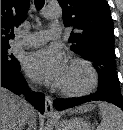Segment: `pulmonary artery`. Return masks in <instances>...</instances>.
Wrapping results in <instances>:
<instances>
[{
	"label": "pulmonary artery",
	"mask_w": 123,
	"mask_h": 130,
	"mask_svg": "<svg viewBox=\"0 0 123 130\" xmlns=\"http://www.w3.org/2000/svg\"><path fill=\"white\" fill-rule=\"evenodd\" d=\"M61 36V26L52 24L48 30H41L25 36L18 45L23 47H35L45 44L50 39H56Z\"/></svg>",
	"instance_id": "1"
}]
</instances>
